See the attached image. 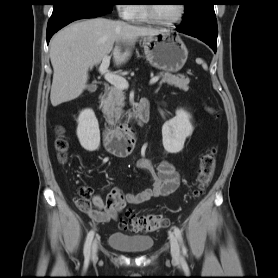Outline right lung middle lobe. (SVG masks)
Listing matches in <instances>:
<instances>
[{
    "instance_id": "dd1d6c3e",
    "label": "right lung middle lobe",
    "mask_w": 278,
    "mask_h": 278,
    "mask_svg": "<svg viewBox=\"0 0 278 278\" xmlns=\"http://www.w3.org/2000/svg\"><path fill=\"white\" fill-rule=\"evenodd\" d=\"M52 4V16L69 7H82L98 12L110 13L112 11L113 0H52Z\"/></svg>"
}]
</instances>
